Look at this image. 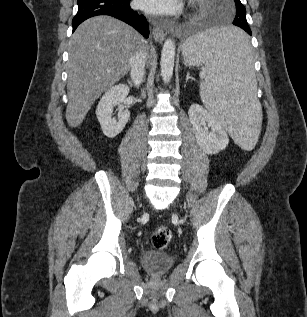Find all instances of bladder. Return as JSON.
Wrapping results in <instances>:
<instances>
[{
    "label": "bladder",
    "mask_w": 307,
    "mask_h": 317,
    "mask_svg": "<svg viewBox=\"0 0 307 317\" xmlns=\"http://www.w3.org/2000/svg\"><path fill=\"white\" fill-rule=\"evenodd\" d=\"M174 263V256L168 252L145 250L140 254V264L148 272L159 275Z\"/></svg>",
    "instance_id": "31cf9c89"
}]
</instances>
